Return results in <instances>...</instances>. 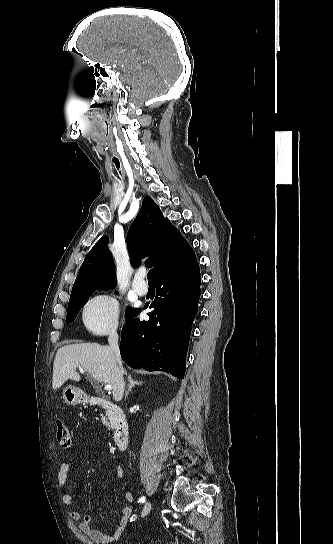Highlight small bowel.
Listing matches in <instances>:
<instances>
[{"label":"small bowel","instance_id":"small-bowel-1","mask_svg":"<svg viewBox=\"0 0 333 544\" xmlns=\"http://www.w3.org/2000/svg\"><path fill=\"white\" fill-rule=\"evenodd\" d=\"M70 463L64 461L61 463L58 471V483L62 491V500L64 504L68 506H74V501L71 493L66 489V483L68 480V473L70 470ZM116 475L118 478H122L124 475L122 467L117 464L115 466ZM125 500L127 502L133 501V494L131 492L125 493ZM131 507L126 505L122 509V513L118 522V525L111 533H104L100 529L96 528L93 524V518L90 515H82L79 511L75 510L69 513V517L74 521H80L79 529L91 538L96 543H108L114 541L120 537L124 528L127 526L129 520H131Z\"/></svg>","mask_w":333,"mask_h":544}]
</instances>
